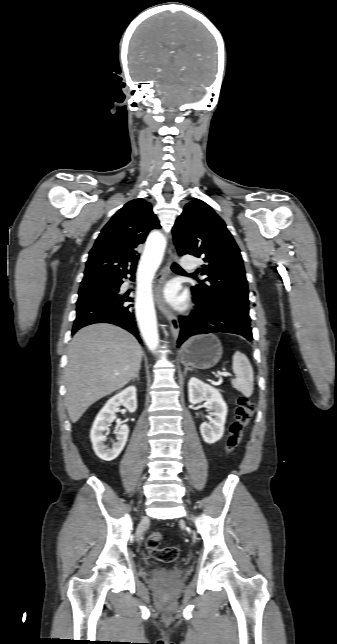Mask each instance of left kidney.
<instances>
[{
  "mask_svg": "<svg viewBox=\"0 0 337 644\" xmlns=\"http://www.w3.org/2000/svg\"><path fill=\"white\" fill-rule=\"evenodd\" d=\"M188 396L191 404L207 401L208 408L212 411L209 422L200 425L203 440L208 444L220 440L224 433L228 409L219 390L193 377L188 382Z\"/></svg>",
  "mask_w": 337,
  "mask_h": 644,
  "instance_id": "1",
  "label": "left kidney"
}]
</instances>
